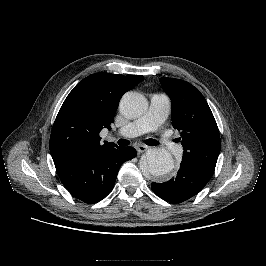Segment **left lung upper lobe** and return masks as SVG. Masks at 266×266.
Masks as SVG:
<instances>
[{"label":"left lung upper lobe","instance_id":"1","mask_svg":"<svg viewBox=\"0 0 266 266\" xmlns=\"http://www.w3.org/2000/svg\"><path fill=\"white\" fill-rule=\"evenodd\" d=\"M171 99L172 125L181 132L182 163L212 176L221 149L219 130L203 95L190 83L161 78Z\"/></svg>","mask_w":266,"mask_h":266}]
</instances>
